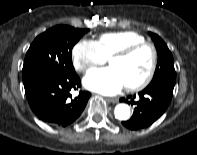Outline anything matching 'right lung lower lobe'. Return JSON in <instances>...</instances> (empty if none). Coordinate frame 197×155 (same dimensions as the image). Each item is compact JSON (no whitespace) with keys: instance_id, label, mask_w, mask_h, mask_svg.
<instances>
[{"instance_id":"1","label":"right lung lower lobe","mask_w":197,"mask_h":155,"mask_svg":"<svg viewBox=\"0 0 197 155\" xmlns=\"http://www.w3.org/2000/svg\"><path fill=\"white\" fill-rule=\"evenodd\" d=\"M80 87V78L74 73L46 80L32 90L26 97L32 111L37 117L54 126L66 127L73 123L84 110L91 94L80 91L71 102L70 90Z\"/></svg>"}]
</instances>
